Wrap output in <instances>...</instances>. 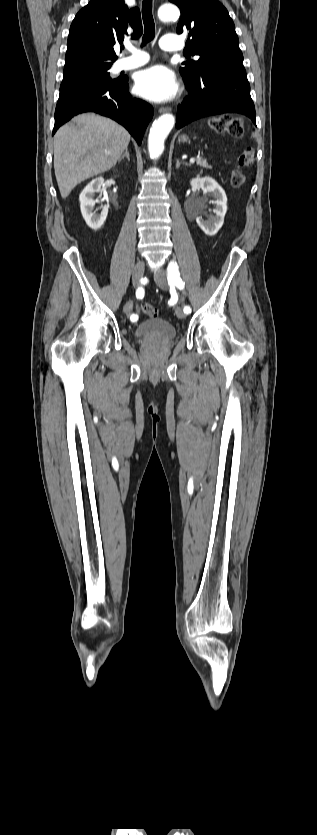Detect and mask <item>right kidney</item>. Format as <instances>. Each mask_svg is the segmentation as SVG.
I'll return each instance as SVG.
<instances>
[{
    "label": "right kidney",
    "mask_w": 317,
    "mask_h": 835,
    "mask_svg": "<svg viewBox=\"0 0 317 835\" xmlns=\"http://www.w3.org/2000/svg\"><path fill=\"white\" fill-rule=\"evenodd\" d=\"M105 180L102 177L93 179L81 192L79 196L80 209L86 224L93 230H98L104 224L108 215V206H101V212L96 214L93 210L95 203L94 194L100 193Z\"/></svg>",
    "instance_id": "ca27d5eb"
}]
</instances>
